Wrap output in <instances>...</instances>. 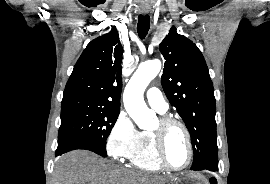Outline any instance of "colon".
<instances>
[{"label": "colon", "instance_id": "5ec220e1", "mask_svg": "<svg viewBox=\"0 0 270 184\" xmlns=\"http://www.w3.org/2000/svg\"><path fill=\"white\" fill-rule=\"evenodd\" d=\"M209 184H217V180L215 178H211Z\"/></svg>", "mask_w": 270, "mask_h": 184}]
</instances>
